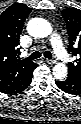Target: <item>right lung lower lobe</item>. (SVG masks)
<instances>
[{
    "label": "right lung lower lobe",
    "instance_id": "1",
    "mask_svg": "<svg viewBox=\"0 0 81 124\" xmlns=\"http://www.w3.org/2000/svg\"><path fill=\"white\" fill-rule=\"evenodd\" d=\"M37 66H38L37 64H34V66L27 72V74L23 78H21L11 86L0 89V91L12 95L20 93L23 90H25L32 82L33 71L35 68H37Z\"/></svg>",
    "mask_w": 81,
    "mask_h": 124
}]
</instances>
